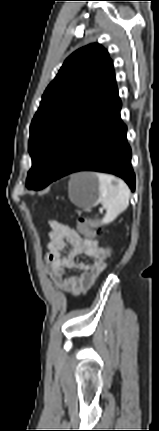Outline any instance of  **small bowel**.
Wrapping results in <instances>:
<instances>
[{
    "instance_id": "small-bowel-1",
    "label": "small bowel",
    "mask_w": 159,
    "mask_h": 431,
    "mask_svg": "<svg viewBox=\"0 0 159 431\" xmlns=\"http://www.w3.org/2000/svg\"><path fill=\"white\" fill-rule=\"evenodd\" d=\"M49 225L51 231L46 261L51 278L59 290L68 292L73 297L85 294L107 266V258L102 256L103 249L94 239L80 236L67 225L56 221H50ZM67 244L72 249L68 255L62 256ZM79 255L95 258V262L91 265L77 262L76 257ZM69 269H77L79 274L67 276L66 271Z\"/></svg>"
}]
</instances>
